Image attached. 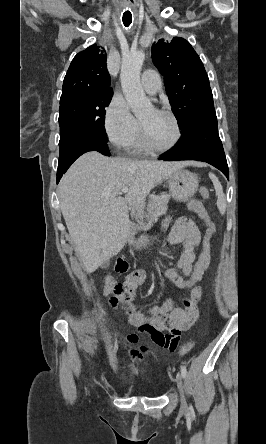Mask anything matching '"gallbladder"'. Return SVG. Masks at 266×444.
<instances>
[{
	"mask_svg": "<svg viewBox=\"0 0 266 444\" xmlns=\"http://www.w3.org/2000/svg\"><path fill=\"white\" fill-rule=\"evenodd\" d=\"M109 266V262H106L104 265H103V268H107Z\"/></svg>",
	"mask_w": 266,
	"mask_h": 444,
	"instance_id": "bac80fb5",
	"label": "gallbladder"
}]
</instances>
